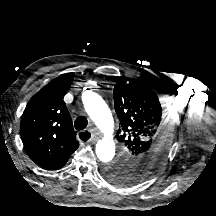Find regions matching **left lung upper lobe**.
Wrapping results in <instances>:
<instances>
[{"label": "left lung upper lobe", "instance_id": "obj_1", "mask_svg": "<svg viewBox=\"0 0 216 216\" xmlns=\"http://www.w3.org/2000/svg\"><path fill=\"white\" fill-rule=\"evenodd\" d=\"M119 120V158L103 174L117 185H131L149 177L167 157L172 144L169 116L162 110L150 82H120L114 86Z\"/></svg>", "mask_w": 216, "mask_h": 216}]
</instances>
